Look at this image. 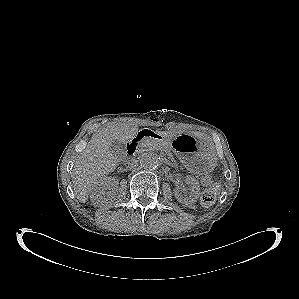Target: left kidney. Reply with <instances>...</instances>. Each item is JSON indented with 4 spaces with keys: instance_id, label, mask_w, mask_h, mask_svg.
<instances>
[{
    "instance_id": "1",
    "label": "left kidney",
    "mask_w": 299,
    "mask_h": 299,
    "mask_svg": "<svg viewBox=\"0 0 299 299\" xmlns=\"http://www.w3.org/2000/svg\"><path fill=\"white\" fill-rule=\"evenodd\" d=\"M185 182L191 186V193L189 197L183 195L181 190L179 189H176L174 191V194L180 203L186 206H191L195 204V202L198 200L200 196V186H199V182L192 176H186Z\"/></svg>"
}]
</instances>
